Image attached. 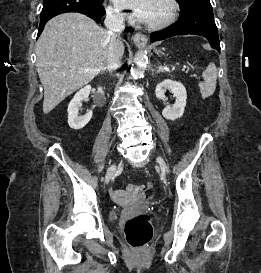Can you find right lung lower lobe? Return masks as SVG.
<instances>
[{"mask_svg":"<svg viewBox=\"0 0 261 273\" xmlns=\"http://www.w3.org/2000/svg\"><path fill=\"white\" fill-rule=\"evenodd\" d=\"M66 12H79L94 20H100L105 15L102 3L93 0H44L37 37L43 31L48 20Z\"/></svg>","mask_w":261,"mask_h":273,"instance_id":"98d812e1","label":"right lung lower lobe"}]
</instances>
